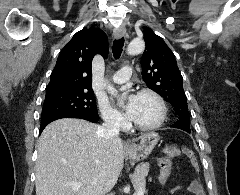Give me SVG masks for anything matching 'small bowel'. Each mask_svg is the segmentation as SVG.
I'll return each instance as SVG.
<instances>
[{"label": "small bowel", "instance_id": "c3829d8e", "mask_svg": "<svg viewBox=\"0 0 240 195\" xmlns=\"http://www.w3.org/2000/svg\"><path fill=\"white\" fill-rule=\"evenodd\" d=\"M187 189H188V187H187ZM179 190H180V187H173L172 189H170V194L175 195ZM193 194L195 195V193H193ZM202 195H205V193H202Z\"/></svg>", "mask_w": 240, "mask_h": 195}]
</instances>
